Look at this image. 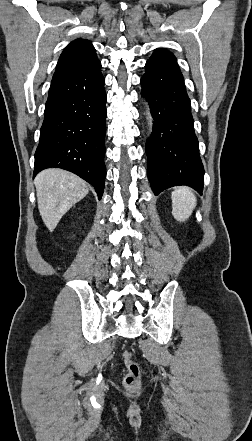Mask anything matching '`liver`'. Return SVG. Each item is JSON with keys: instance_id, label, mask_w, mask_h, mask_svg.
<instances>
[{"instance_id": "6515ba94", "label": "liver", "mask_w": 252, "mask_h": 441, "mask_svg": "<svg viewBox=\"0 0 252 441\" xmlns=\"http://www.w3.org/2000/svg\"><path fill=\"white\" fill-rule=\"evenodd\" d=\"M38 209L48 230L52 232L62 216L89 192L87 183L62 169H46L35 178Z\"/></svg>"}]
</instances>
